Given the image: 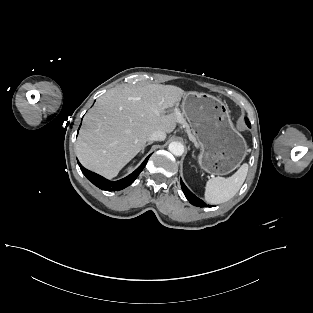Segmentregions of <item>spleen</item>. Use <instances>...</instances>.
Masks as SVG:
<instances>
[{
  "mask_svg": "<svg viewBox=\"0 0 313 313\" xmlns=\"http://www.w3.org/2000/svg\"><path fill=\"white\" fill-rule=\"evenodd\" d=\"M248 172V164H243L238 171L228 178L215 177L206 182L205 200L209 204H221L236 195L243 185Z\"/></svg>",
  "mask_w": 313,
  "mask_h": 313,
  "instance_id": "1",
  "label": "spleen"
}]
</instances>
